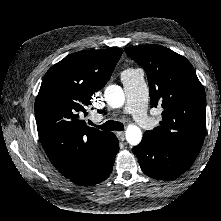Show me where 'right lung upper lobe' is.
<instances>
[{
	"mask_svg": "<svg viewBox=\"0 0 221 221\" xmlns=\"http://www.w3.org/2000/svg\"><path fill=\"white\" fill-rule=\"evenodd\" d=\"M122 49L84 50L65 57L45 74L35 101L41 144L50 161L72 179L104 166L110 154L109 134L79 117L92 95L109 80Z\"/></svg>",
	"mask_w": 221,
	"mask_h": 221,
	"instance_id": "right-lung-upper-lobe-1",
	"label": "right lung upper lobe"
}]
</instances>
